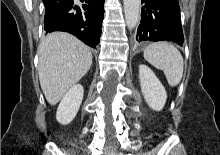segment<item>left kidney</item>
I'll list each match as a JSON object with an SVG mask.
<instances>
[{
    "instance_id": "5707ae66",
    "label": "left kidney",
    "mask_w": 220,
    "mask_h": 155,
    "mask_svg": "<svg viewBox=\"0 0 220 155\" xmlns=\"http://www.w3.org/2000/svg\"><path fill=\"white\" fill-rule=\"evenodd\" d=\"M139 79L142 93L149 107L155 111L162 110L166 103L167 93L154 72L148 66L141 64Z\"/></svg>"
}]
</instances>
